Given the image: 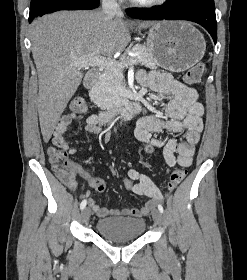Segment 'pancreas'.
Instances as JSON below:
<instances>
[{"label":"pancreas","instance_id":"cf45deb5","mask_svg":"<svg viewBox=\"0 0 247 280\" xmlns=\"http://www.w3.org/2000/svg\"><path fill=\"white\" fill-rule=\"evenodd\" d=\"M131 51L138 52L139 55L136 57H129L127 53H124L120 57L119 63H126L131 59H135L137 63L141 65L151 69L157 68L158 64L144 45L136 44ZM123 69L124 67L116 71L105 69L100 75L94 91L92 92V98L101 109H113L121 105L122 94L120 85L124 82Z\"/></svg>","mask_w":247,"mask_h":280}]
</instances>
